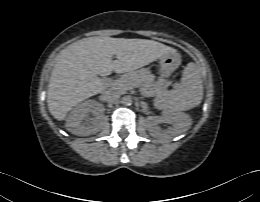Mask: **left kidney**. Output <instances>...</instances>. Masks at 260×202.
<instances>
[{"instance_id":"1","label":"left kidney","mask_w":260,"mask_h":202,"mask_svg":"<svg viewBox=\"0 0 260 202\" xmlns=\"http://www.w3.org/2000/svg\"><path fill=\"white\" fill-rule=\"evenodd\" d=\"M147 120L149 122L148 130L150 135L156 138H160L166 134L178 135L190 121L186 115L175 112H164L162 116H150ZM162 122L173 123L175 127L171 131L163 132L158 126V123Z\"/></svg>"}]
</instances>
